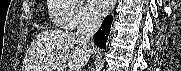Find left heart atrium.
<instances>
[{"label":"left heart atrium","mask_w":181,"mask_h":71,"mask_svg":"<svg viewBox=\"0 0 181 71\" xmlns=\"http://www.w3.org/2000/svg\"><path fill=\"white\" fill-rule=\"evenodd\" d=\"M111 0H92L91 5L93 9L100 14L106 13L111 7Z\"/></svg>","instance_id":"left-heart-atrium-1"}]
</instances>
